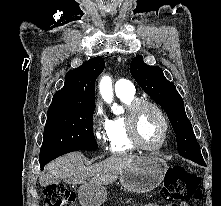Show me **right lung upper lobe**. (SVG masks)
<instances>
[{"mask_svg": "<svg viewBox=\"0 0 221 206\" xmlns=\"http://www.w3.org/2000/svg\"><path fill=\"white\" fill-rule=\"evenodd\" d=\"M104 65L101 57H95L69 71L64 87L54 94L48 111L95 107V80Z\"/></svg>", "mask_w": 221, "mask_h": 206, "instance_id": "1", "label": "right lung upper lobe"}]
</instances>
